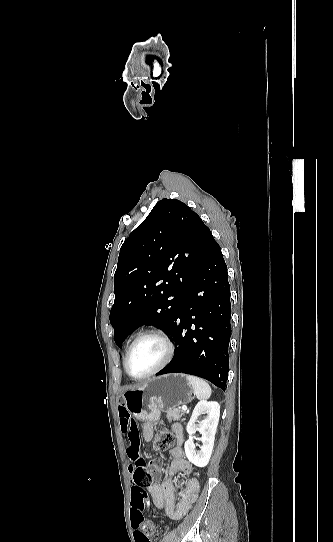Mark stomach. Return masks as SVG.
Segmentation results:
<instances>
[{
    "mask_svg": "<svg viewBox=\"0 0 333 542\" xmlns=\"http://www.w3.org/2000/svg\"><path fill=\"white\" fill-rule=\"evenodd\" d=\"M192 396L193 390L184 374H165L151 378L141 388L127 390L121 400L137 420L158 424L161 412L189 404Z\"/></svg>",
    "mask_w": 333,
    "mask_h": 542,
    "instance_id": "0dacf381",
    "label": "stomach"
}]
</instances>
